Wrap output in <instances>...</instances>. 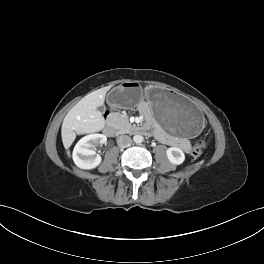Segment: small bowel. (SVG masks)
<instances>
[{"label":"small bowel","mask_w":264,"mask_h":264,"mask_svg":"<svg viewBox=\"0 0 264 264\" xmlns=\"http://www.w3.org/2000/svg\"><path fill=\"white\" fill-rule=\"evenodd\" d=\"M156 136L162 140L163 142H166L168 144H174L180 146L183 150L188 151L189 150V143L187 140L181 139V140H173L166 136V134L161 130H156Z\"/></svg>","instance_id":"small-bowel-1"}]
</instances>
